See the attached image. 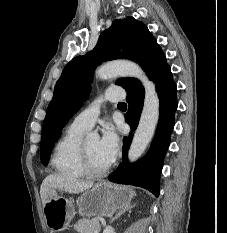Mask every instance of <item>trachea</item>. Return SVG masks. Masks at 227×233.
Segmentation results:
<instances>
[{
  "mask_svg": "<svg viewBox=\"0 0 227 233\" xmlns=\"http://www.w3.org/2000/svg\"><path fill=\"white\" fill-rule=\"evenodd\" d=\"M118 106H126V103L120 102Z\"/></svg>",
  "mask_w": 227,
  "mask_h": 233,
  "instance_id": "obj_1",
  "label": "trachea"
}]
</instances>
